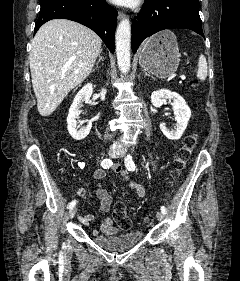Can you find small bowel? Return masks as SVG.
<instances>
[{"mask_svg": "<svg viewBox=\"0 0 240 281\" xmlns=\"http://www.w3.org/2000/svg\"><path fill=\"white\" fill-rule=\"evenodd\" d=\"M114 173H117L120 175L121 179L126 183V185L132 189L136 195L140 198H144L146 196V190L143 187V185H141L138 182L132 181L128 174L119 166V165H115L112 168ZM94 177L97 181H102L105 177V171L104 169H97L94 172ZM76 193L78 196H85L87 194V191L85 188H78L76 190ZM96 195L97 198L100 202V208L103 212H108L111 208L112 205V197L110 196V194L103 188V187H98L96 190ZM94 219V216L91 214H87V215H81L79 216V220L81 222H83L84 224H89L92 220ZM119 232V228L116 227L112 221L111 218L107 217L105 218L101 225L99 230H94L93 233L94 235H114L117 234Z\"/></svg>", "mask_w": 240, "mask_h": 281, "instance_id": "1", "label": "small bowel"}]
</instances>
